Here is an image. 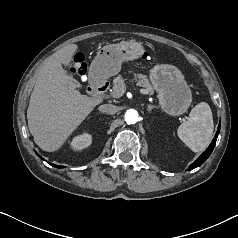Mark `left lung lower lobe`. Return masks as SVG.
Masks as SVG:
<instances>
[{"label": "left lung lower lobe", "instance_id": "1", "mask_svg": "<svg viewBox=\"0 0 238 238\" xmlns=\"http://www.w3.org/2000/svg\"><path fill=\"white\" fill-rule=\"evenodd\" d=\"M219 131H220V123H219V126H218V129H217V132L215 134V137L212 141V143L210 144V146L206 149L205 152H203L201 154V156L194 162L190 165L189 167V170H192L198 166H200L201 164H203L207 158L210 156V154L212 153L213 149H214V146L216 144V140H217V137H218V134H219Z\"/></svg>", "mask_w": 238, "mask_h": 238}]
</instances>
